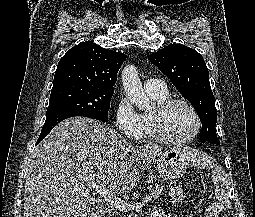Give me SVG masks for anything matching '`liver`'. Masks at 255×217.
<instances>
[{"label": "liver", "instance_id": "liver-1", "mask_svg": "<svg viewBox=\"0 0 255 217\" xmlns=\"http://www.w3.org/2000/svg\"><path fill=\"white\" fill-rule=\"evenodd\" d=\"M180 149L187 159L199 158L197 151ZM161 154V146H132L94 119H66L31 156L24 217H85L93 204L86 180L104 182L117 195L129 192L138 184L140 171Z\"/></svg>", "mask_w": 255, "mask_h": 217}]
</instances>
